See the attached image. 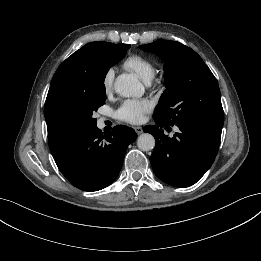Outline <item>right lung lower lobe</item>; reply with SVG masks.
Returning <instances> with one entry per match:
<instances>
[{"mask_svg":"<svg viewBox=\"0 0 261 261\" xmlns=\"http://www.w3.org/2000/svg\"><path fill=\"white\" fill-rule=\"evenodd\" d=\"M136 137L135 131L126 126H116L108 135L95 127L53 157L75 187L97 191L117 178L127 147Z\"/></svg>","mask_w":261,"mask_h":261,"instance_id":"right-lung-lower-lobe-1","label":"right lung lower lobe"}]
</instances>
